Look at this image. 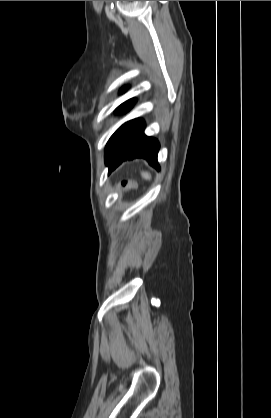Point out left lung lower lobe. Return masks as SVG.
I'll list each match as a JSON object with an SVG mask.
<instances>
[{"label":"left lung lower lobe","instance_id":"left-lung-lower-lobe-1","mask_svg":"<svg viewBox=\"0 0 271 418\" xmlns=\"http://www.w3.org/2000/svg\"><path fill=\"white\" fill-rule=\"evenodd\" d=\"M145 123L134 119L123 124L109 139L105 149V163L109 173L123 161L144 158L157 170L159 143L144 134Z\"/></svg>","mask_w":271,"mask_h":418}]
</instances>
